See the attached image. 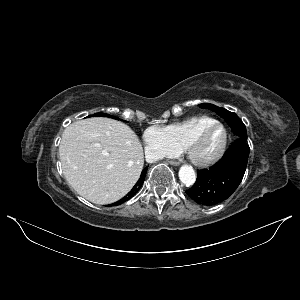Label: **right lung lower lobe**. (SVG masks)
I'll return each instance as SVG.
<instances>
[{"instance_id": "98d812e1", "label": "right lung lower lobe", "mask_w": 300, "mask_h": 300, "mask_svg": "<svg viewBox=\"0 0 300 300\" xmlns=\"http://www.w3.org/2000/svg\"><path fill=\"white\" fill-rule=\"evenodd\" d=\"M148 167H145L144 170L141 173L140 179L138 180V182L135 184V186L132 188V190L125 196L123 197L121 200L117 201L116 203H114L113 205H119L121 203H124L125 201L129 200L130 198H132L138 191H137V184L141 185L144 182L145 176H146V172H147ZM141 188V187H140Z\"/></svg>"}]
</instances>
